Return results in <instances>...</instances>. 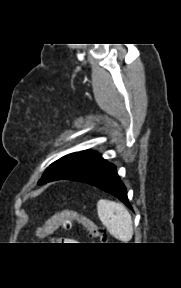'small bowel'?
<instances>
[{
  "label": "small bowel",
  "instance_id": "small-bowel-1",
  "mask_svg": "<svg viewBox=\"0 0 181 288\" xmlns=\"http://www.w3.org/2000/svg\"><path fill=\"white\" fill-rule=\"evenodd\" d=\"M61 243H76L75 240L70 239V238H62L59 240Z\"/></svg>",
  "mask_w": 181,
  "mask_h": 288
}]
</instances>
